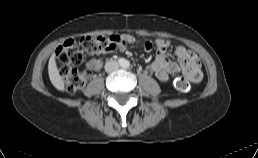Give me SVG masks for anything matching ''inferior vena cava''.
I'll use <instances>...</instances> for the list:
<instances>
[{
  "label": "inferior vena cava",
  "instance_id": "inferior-vena-cava-1",
  "mask_svg": "<svg viewBox=\"0 0 258 158\" xmlns=\"http://www.w3.org/2000/svg\"><path fill=\"white\" fill-rule=\"evenodd\" d=\"M119 69V64L117 61L111 60L106 62L105 64V71L111 73Z\"/></svg>",
  "mask_w": 258,
  "mask_h": 158
}]
</instances>
